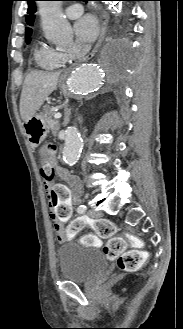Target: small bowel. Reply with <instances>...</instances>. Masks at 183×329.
Segmentation results:
<instances>
[{"label":"small bowel","instance_id":"c3829d8e","mask_svg":"<svg viewBox=\"0 0 183 329\" xmlns=\"http://www.w3.org/2000/svg\"><path fill=\"white\" fill-rule=\"evenodd\" d=\"M58 175L66 181L53 182L52 187L45 186L50 208V215L54 219V234L58 241L63 242L66 239L64 227H69L67 220L74 209V204L80 200V180L76 175L69 173L66 169L58 167Z\"/></svg>","mask_w":183,"mask_h":329}]
</instances>
